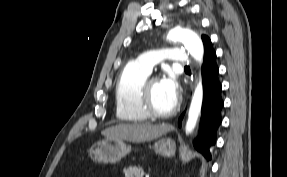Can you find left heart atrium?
<instances>
[{
  "label": "left heart atrium",
  "mask_w": 287,
  "mask_h": 177,
  "mask_svg": "<svg viewBox=\"0 0 287 177\" xmlns=\"http://www.w3.org/2000/svg\"><path fill=\"white\" fill-rule=\"evenodd\" d=\"M161 83L163 87L167 90V92L174 97L177 98L178 95V82L173 73H168L162 80Z\"/></svg>",
  "instance_id": "39dd6f15"
}]
</instances>
